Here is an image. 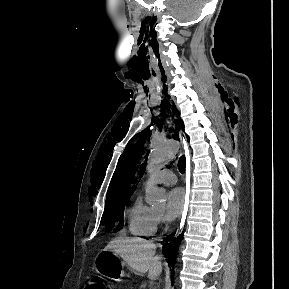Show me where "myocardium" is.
<instances>
[{
	"label": "myocardium",
	"instance_id": "myocardium-1",
	"mask_svg": "<svg viewBox=\"0 0 289 289\" xmlns=\"http://www.w3.org/2000/svg\"><path fill=\"white\" fill-rule=\"evenodd\" d=\"M153 212H154L156 218H159V217H160V214L156 213L155 211H153Z\"/></svg>",
	"mask_w": 289,
	"mask_h": 289
}]
</instances>
